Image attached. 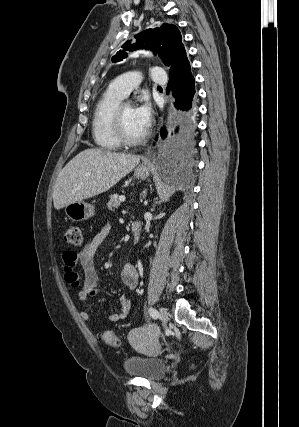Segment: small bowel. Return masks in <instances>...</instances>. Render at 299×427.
Returning a JSON list of instances; mask_svg holds the SVG:
<instances>
[{"label": "small bowel", "instance_id": "obj_1", "mask_svg": "<svg viewBox=\"0 0 299 427\" xmlns=\"http://www.w3.org/2000/svg\"><path fill=\"white\" fill-rule=\"evenodd\" d=\"M109 232V225L103 226L98 232L92 234L80 251H68L63 254V264L65 271V281L73 288H79L77 300L84 303L87 299L95 295L97 284V269L95 255L106 239ZM83 270L82 278L78 275L77 267ZM121 281L131 290L138 284V272L134 265L127 263L120 272ZM121 309L119 312L105 317L108 322H119L124 320L131 310V300L127 295L120 297ZM80 316L84 320H92L94 314L82 309Z\"/></svg>", "mask_w": 299, "mask_h": 427}]
</instances>
